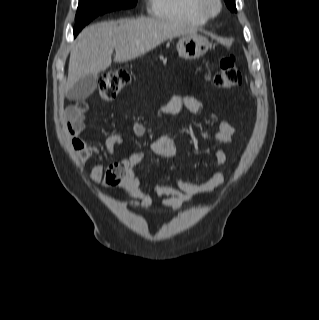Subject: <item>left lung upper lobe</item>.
I'll return each mask as SVG.
<instances>
[{
  "label": "left lung upper lobe",
  "instance_id": "5c2ea615",
  "mask_svg": "<svg viewBox=\"0 0 319 320\" xmlns=\"http://www.w3.org/2000/svg\"><path fill=\"white\" fill-rule=\"evenodd\" d=\"M224 1L227 7L230 9V11L237 12L234 0H224Z\"/></svg>",
  "mask_w": 319,
  "mask_h": 320
}]
</instances>
